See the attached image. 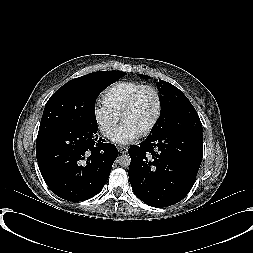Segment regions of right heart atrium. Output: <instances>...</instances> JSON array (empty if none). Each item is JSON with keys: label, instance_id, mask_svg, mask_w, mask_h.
<instances>
[{"label": "right heart atrium", "instance_id": "right-heart-atrium-1", "mask_svg": "<svg viewBox=\"0 0 253 253\" xmlns=\"http://www.w3.org/2000/svg\"><path fill=\"white\" fill-rule=\"evenodd\" d=\"M93 117L100 134L104 137L112 136L119 121V115L99 101L93 108Z\"/></svg>", "mask_w": 253, "mask_h": 253}]
</instances>
